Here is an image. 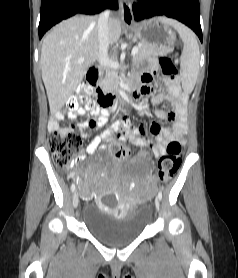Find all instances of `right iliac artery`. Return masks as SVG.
I'll return each mask as SVG.
<instances>
[{
    "label": "right iliac artery",
    "mask_w": 238,
    "mask_h": 278,
    "mask_svg": "<svg viewBox=\"0 0 238 278\" xmlns=\"http://www.w3.org/2000/svg\"><path fill=\"white\" fill-rule=\"evenodd\" d=\"M75 189H76L75 184H74V183H72V185H71V191H72V192H74V191H75Z\"/></svg>",
    "instance_id": "right-iliac-artery-1"
}]
</instances>
